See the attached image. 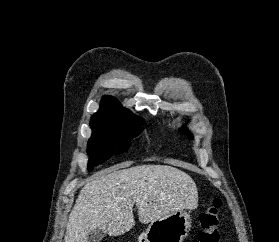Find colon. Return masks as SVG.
I'll return each instance as SVG.
<instances>
[{"label": "colon", "instance_id": "1", "mask_svg": "<svg viewBox=\"0 0 279 242\" xmlns=\"http://www.w3.org/2000/svg\"><path fill=\"white\" fill-rule=\"evenodd\" d=\"M222 201L213 199L200 214L201 229L190 242H219L220 210Z\"/></svg>", "mask_w": 279, "mask_h": 242}]
</instances>
